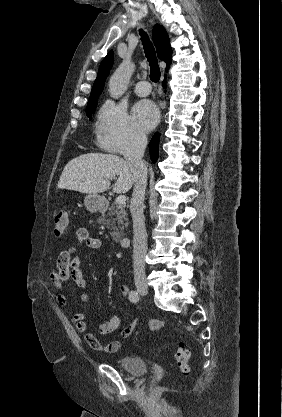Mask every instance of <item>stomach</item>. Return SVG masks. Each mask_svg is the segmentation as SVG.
Instances as JSON below:
<instances>
[{"instance_id": "obj_1", "label": "stomach", "mask_w": 282, "mask_h": 417, "mask_svg": "<svg viewBox=\"0 0 282 417\" xmlns=\"http://www.w3.org/2000/svg\"><path fill=\"white\" fill-rule=\"evenodd\" d=\"M106 202L105 196H101V194H86V196H84L86 209L87 211H91V213H97V211L103 209Z\"/></svg>"}]
</instances>
